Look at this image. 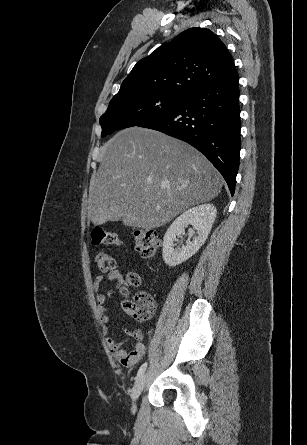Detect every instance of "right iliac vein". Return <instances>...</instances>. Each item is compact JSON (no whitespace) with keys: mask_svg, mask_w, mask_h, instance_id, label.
<instances>
[{"mask_svg":"<svg viewBox=\"0 0 307 445\" xmlns=\"http://www.w3.org/2000/svg\"><path fill=\"white\" fill-rule=\"evenodd\" d=\"M145 382H146V375L142 374L135 382L133 389H132V401H133V406H132V412L134 413L136 411V401L139 398V396L141 395L143 388L145 386Z\"/></svg>","mask_w":307,"mask_h":445,"instance_id":"63e3f726","label":"right iliac vein"}]
</instances>
